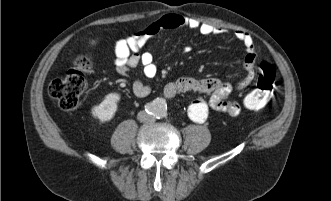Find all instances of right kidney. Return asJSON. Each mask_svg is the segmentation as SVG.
<instances>
[{
    "label": "right kidney",
    "mask_w": 331,
    "mask_h": 201,
    "mask_svg": "<svg viewBox=\"0 0 331 201\" xmlns=\"http://www.w3.org/2000/svg\"><path fill=\"white\" fill-rule=\"evenodd\" d=\"M120 100V95L116 92L106 95L105 99L91 110L94 118L101 122H108L113 119L117 111V103Z\"/></svg>",
    "instance_id": "ca27d5eb"
}]
</instances>
